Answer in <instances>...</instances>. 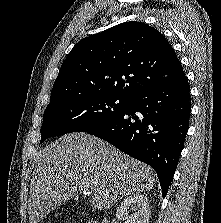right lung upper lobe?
I'll list each match as a JSON object with an SVG mask.
<instances>
[{
	"label": "right lung upper lobe",
	"instance_id": "right-lung-upper-lobe-1",
	"mask_svg": "<svg viewBox=\"0 0 221 223\" xmlns=\"http://www.w3.org/2000/svg\"><path fill=\"white\" fill-rule=\"evenodd\" d=\"M165 36L136 21L125 22L80 40L63 62L50 103L84 94L131 99L184 77Z\"/></svg>",
	"mask_w": 221,
	"mask_h": 223
}]
</instances>
